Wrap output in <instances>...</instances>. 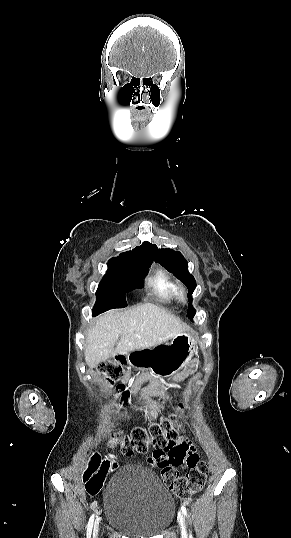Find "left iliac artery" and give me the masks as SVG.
Wrapping results in <instances>:
<instances>
[{
    "instance_id": "left-iliac-artery-1",
    "label": "left iliac artery",
    "mask_w": 291,
    "mask_h": 538,
    "mask_svg": "<svg viewBox=\"0 0 291 538\" xmlns=\"http://www.w3.org/2000/svg\"><path fill=\"white\" fill-rule=\"evenodd\" d=\"M181 510H182L183 514L187 517V510H186V508H185L184 505L181 506ZM189 538H193L192 535H191V533H190V535H189Z\"/></svg>"
}]
</instances>
